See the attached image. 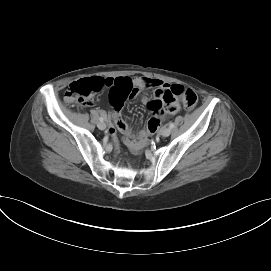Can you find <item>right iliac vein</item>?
Wrapping results in <instances>:
<instances>
[{
	"instance_id": "right-iliac-vein-1",
	"label": "right iliac vein",
	"mask_w": 271,
	"mask_h": 271,
	"mask_svg": "<svg viewBox=\"0 0 271 271\" xmlns=\"http://www.w3.org/2000/svg\"><path fill=\"white\" fill-rule=\"evenodd\" d=\"M97 126H98V128L100 130H105L106 129V123L105 122H99Z\"/></svg>"
}]
</instances>
